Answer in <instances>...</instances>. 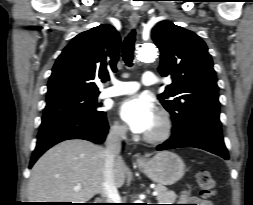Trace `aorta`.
I'll list each match as a JSON object with an SVG mask.
<instances>
[{
    "instance_id": "762f6f07",
    "label": "aorta",
    "mask_w": 253,
    "mask_h": 205,
    "mask_svg": "<svg viewBox=\"0 0 253 205\" xmlns=\"http://www.w3.org/2000/svg\"><path fill=\"white\" fill-rule=\"evenodd\" d=\"M157 55V48L151 43L143 44L137 51L138 58L144 62L154 61ZM136 203H142V201H137Z\"/></svg>"
}]
</instances>
